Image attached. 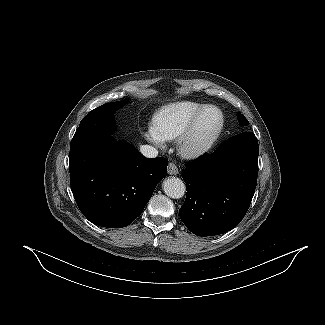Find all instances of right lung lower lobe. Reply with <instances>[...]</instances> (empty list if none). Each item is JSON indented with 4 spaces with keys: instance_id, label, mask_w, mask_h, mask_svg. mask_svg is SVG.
I'll use <instances>...</instances> for the list:
<instances>
[{
    "instance_id": "98d812e1",
    "label": "right lung lower lobe",
    "mask_w": 325,
    "mask_h": 325,
    "mask_svg": "<svg viewBox=\"0 0 325 325\" xmlns=\"http://www.w3.org/2000/svg\"><path fill=\"white\" fill-rule=\"evenodd\" d=\"M167 165V159L145 158L126 142L80 133L70 145L71 190L89 221L122 228L142 213Z\"/></svg>"
}]
</instances>
